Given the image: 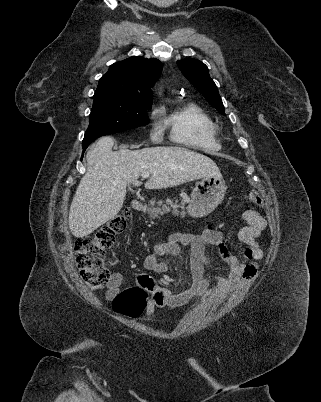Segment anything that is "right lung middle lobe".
Wrapping results in <instances>:
<instances>
[{"mask_svg":"<svg viewBox=\"0 0 321 402\" xmlns=\"http://www.w3.org/2000/svg\"><path fill=\"white\" fill-rule=\"evenodd\" d=\"M149 103L133 102L110 95L94 94L89 127L84 140L94 141L100 136L133 129L148 124Z\"/></svg>","mask_w":321,"mask_h":402,"instance_id":"right-lung-middle-lobe-1","label":"right lung middle lobe"}]
</instances>
